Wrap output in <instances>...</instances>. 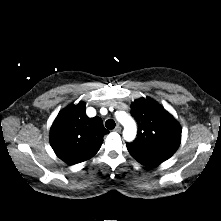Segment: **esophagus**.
Listing matches in <instances>:
<instances>
[{
  "label": "esophagus",
  "instance_id": "1",
  "mask_svg": "<svg viewBox=\"0 0 221 221\" xmlns=\"http://www.w3.org/2000/svg\"><path fill=\"white\" fill-rule=\"evenodd\" d=\"M121 126L120 125H117L115 128H114V131L117 132V133H120L121 132Z\"/></svg>",
  "mask_w": 221,
  "mask_h": 221
}]
</instances>
